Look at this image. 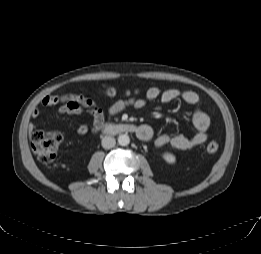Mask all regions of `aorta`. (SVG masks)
Listing matches in <instances>:
<instances>
[{
    "mask_svg": "<svg viewBox=\"0 0 261 254\" xmlns=\"http://www.w3.org/2000/svg\"><path fill=\"white\" fill-rule=\"evenodd\" d=\"M118 143L121 146H127L130 143V138L127 134H121L118 137Z\"/></svg>",
    "mask_w": 261,
    "mask_h": 254,
    "instance_id": "1",
    "label": "aorta"
}]
</instances>
